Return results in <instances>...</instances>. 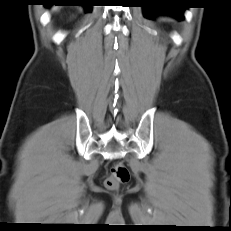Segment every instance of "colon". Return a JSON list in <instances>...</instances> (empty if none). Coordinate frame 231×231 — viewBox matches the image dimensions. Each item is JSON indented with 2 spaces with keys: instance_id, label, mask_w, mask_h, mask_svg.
I'll list each match as a JSON object with an SVG mask.
<instances>
[{
  "instance_id": "1",
  "label": "colon",
  "mask_w": 231,
  "mask_h": 231,
  "mask_svg": "<svg viewBox=\"0 0 231 231\" xmlns=\"http://www.w3.org/2000/svg\"><path fill=\"white\" fill-rule=\"evenodd\" d=\"M128 180V169L124 165L118 163L112 167L110 175L105 180V186L108 189L116 190L121 184L127 182Z\"/></svg>"
}]
</instances>
